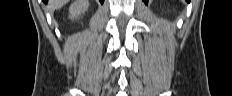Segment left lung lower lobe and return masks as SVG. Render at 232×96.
<instances>
[{"label":"left lung lower lobe","mask_w":232,"mask_h":96,"mask_svg":"<svg viewBox=\"0 0 232 96\" xmlns=\"http://www.w3.org/2000/svg\"><path fill=\"white\" fill-rule=\"evenodd\" d=\"M145 2V4L148 3V0H143ZM187 2H190V0H186Z\"/></svg>","instance_id":"0a47b994"}]
</instances>
